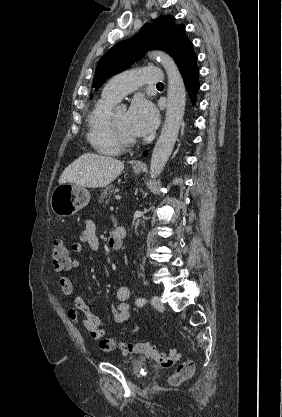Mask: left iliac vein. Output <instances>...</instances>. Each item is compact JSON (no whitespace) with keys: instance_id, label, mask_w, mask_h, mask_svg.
<instances>
[{"instance_id":"left-iliac-vein-1","label":"left iliac vein","mask_w":282,"mask_h":417,"mask_svg":"<svg viewBox=\"0 0 282 417\" xmlns=\"http://www.w3.org/2000/svg\"><path fill=\"white\" fill-rule=\"evenodd\" d=\"M151 304L153 305L155 309L159 311H162L164 309V305L158 296H153L151 298Z\"/></svg>"}]
</instances>
